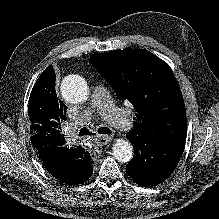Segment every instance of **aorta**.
Returning a JSON list of instances; mask_svg holds the SVG:
<instances>
[{"label":"aorta","instance_id":"aorta-1","mask_svg":"<svg viewBox=\"0 0 219 219\" xmlns=\"http://www.w3.org/2000/svg\"><path fill=\"white\" fill-rule=\"evenodd\" d=\"M88 85L81 77H67L62 81L61 94L69 103H82L88 98ZM113 156L121 163L129 162L133 157V147L128 140L117 139L113 144Z\"/></svg>","mask_w":219,"mask_h":219}]
</instances>
